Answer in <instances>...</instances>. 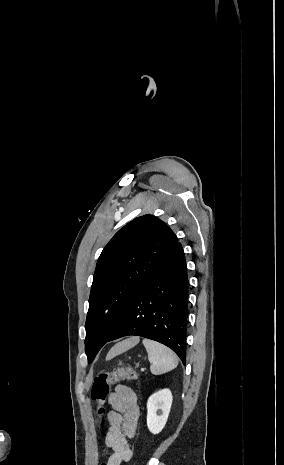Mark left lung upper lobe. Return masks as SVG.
Returning a JSON list of instances; mask_svg holds the SVG:
<instances>
[{
    "mask_svg": "<svg viewBox=\"0 0 284 465\" xmlns=\"http://www.w3.org/2000/svg\"><path fill=\"white\" fill-rule=\"evenodd\" d=\"M178 242L152 215L122 227L103 249L94 272L85 323V352L91 363L116 329L128 304Z\"/></svg>",
    "mask_w": 284,
    "mask_h": 465,
    "instance_id": "left-lung-upper-lobe-1",
    "label": "left lung upper lobe"
}]
</instances>
